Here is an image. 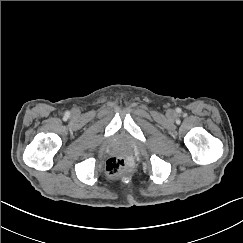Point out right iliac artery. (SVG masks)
Returning <instances> with one entry per match:
<instances>
[{
	"instance_id": "right-iliac-artery-1",
	"label": "right iliac artery",
	"mask_w": 243,
	"mask_h": 243,
	"mask_svg": "<svg viewBox=\"0 0 243 243\" xmlns=\"http://www.w3.org/2000/svg\"><path fill=\"white\" fill-rule=\"evenodd\" d=\"M69 115V112H66V116H68Z\"/></svg>"
}]
</instances>
